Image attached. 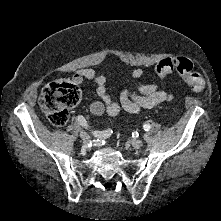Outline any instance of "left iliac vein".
<instances>
[{
  "label": "left iliac vein",
  "instance_id": "1",
  "mask_svg": "<svg viewBox=\"0 0 221 221\" xmlns=\"http://www.w3.org/2000/svg\"><path fill=\"white\" fill-rule=\"evenodd\" d=\"M143 142L142 140L140 139H133L131 141V145L134 147V148H140L142 146Z\"/></svg>",
  "mask_w": 221,
  "mask_h": 221
}]
</instances>
